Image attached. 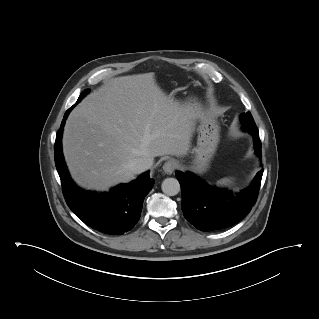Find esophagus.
<instances>
[{
  "label": "esophagus",
  "instance_id": "obj_1",
  "mask_svg": "<svg viewBox=\"0 0 319 319\" xmlns=\"http://www.w3.org/2000/svg\"><path fill=\"white\" fill-rule=\"evenodd\" d=\"M177 166H178V163L175 160L169 159L164 163L163 171L166 174H172L174 170L177 168Z\"/></svg>",
  "mask_w": 319,
  "mask_h": 319
}]
</instances>
